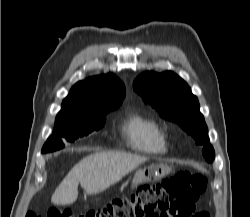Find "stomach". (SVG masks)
I'll list each match as a JSON object with an SVG mask.
<instances>
[{
  "instance_id": "obj_1",
  "label": "stomach",
  "mask_w": 250,
  "mask_h": 217,
  "mask_svg": "<svg viewBox=\"0 0 250 217\" xmlns=\"http://www.w3.org/2000/svg\"><path fill=\"white\" fill-rule=\"evenodd\" d=\"M170 172L165 164H152L136 171L133 185L158 181Z\"/></svg>"
}]
</instances>
